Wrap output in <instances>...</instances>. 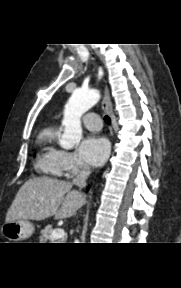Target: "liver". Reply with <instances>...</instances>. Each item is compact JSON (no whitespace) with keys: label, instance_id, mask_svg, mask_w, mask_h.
Wrapping results in <instances>:
<instances>
[{"label":"liver","instance_id":"liver-1","mask_svg":"<svg viewBox=\"0 0 181 288\" xmlns=\"http://www.w3.org/2000/svg\"><path fill=\"white\" fill-rule=\"evenodd\" d=\"M67 181L36 177L26 181L10 206L6 222L15 220L41 221L54 215L55 219L73 216L86 202L83 194L72 190Z\"/></svg>","mask_w":181,"mask_h":288}]
</instances>
